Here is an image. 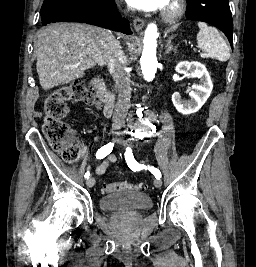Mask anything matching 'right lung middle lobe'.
I'll use <instances>...</instances> for the list:
<instances>
[{
	"instance_id": "obj_1",
	"label": "right lung middle lobe",
	"mask_w": 256,
	"mask_h": 267,
	"mask_svg": "<svg viewBox=\"0 0 256 267\" xmlns=\"http://www.w3.org/2000/svg\"><path fill=\"white\" fill-rule=\"evenodd\" d=\"M99 1L102 0H44L40 13L42 15L46 11L58 7H63L70 9L72 11H76L92 2H99Z\"/></svg>"
}]
</instances>
